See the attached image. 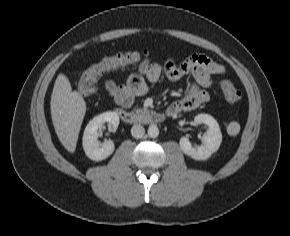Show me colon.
Wrapping results in <instances>:
<instances>
[{
	"label": "colon",
	"instance_id": "1",
	"mask_svg": "<svg viewBox=\"0 0 290 236\" xmlns=\"http://www.w3.org/2000/svg\"><path fill=\"white\" fill-rule=\"evenodd\" d=\"M148 55L147 52H124L105 57L98 63L86 69L79 81L78 90L83 96H91L95 92V83L97 79L105 72L119 69L127 65L140 62ZM226 99L231 103H236L241 99L240 91L229 81L222 84Z\"/></svg>",
	"mask_w": 290,
	"mask_h": 236
}]
</instances>
